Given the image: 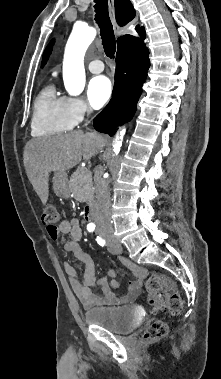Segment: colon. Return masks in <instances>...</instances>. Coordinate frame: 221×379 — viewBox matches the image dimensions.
<instances>
[{"mask_svg": "<svg viewBox=\"0 0 221 379\" xmlns=\"http://www.w3.org/2000/svg\"><path fill=\"white\" fill-rule=\"evenodd\" d=\"M41 221L47 230L54 232L60 222V213L53 205L43 210ZM148 303L155 312L167 311L173 315L179 314L183 308V301L174 281L168 277L152 273L147 280ZM168 326L163 321H155L145 331L144 338L155 340L166 336Z\"/></svg>", "mask_w": 221, "mask_h": 379, "instance_id": "1", "label": "colon"}]
</instances>
